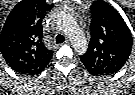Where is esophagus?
Returning <instances> with one entry per match:
<instances>
[{
	"mask_svg": "<svg viewBox=\"0 0 135 95\" xmlns=\"http://www.w3.org/2000/svg\"><path fill=\"white\" fill-rule=\"evenodd\" d=\"M65 43H66V44H70L71 42H70L69 39H66V40H65Z\"/></svg>",
	"mask_w": 135,
	"mask_h": 95,
	"instance_id": "esophagus-1",
	"label": "esophagus"
}]
</instances>
